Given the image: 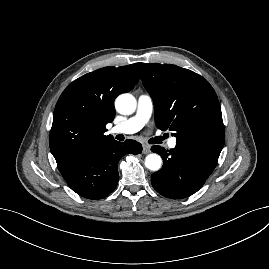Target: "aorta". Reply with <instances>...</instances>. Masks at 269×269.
<instances>
[{
  "instance_id": "1",
  "label": "aorta",
  "mask_w": 269,
  "mask_h": 269,
  "mask_svg": "<svg viewBox=\"0 0 269 269\" xmlns=\"http://www.w3.org/2000/svg\"><path fill=\"white\" fill-rule=\"evenodd\" d=\"M136 106L135 97L128 93L119 95L115 100L117 112L123 115L132 114L136 110ZM145 166L151 171H158L162 167V158L156 153H151L145 158Z\"/></svg>"
}]
</instances>
